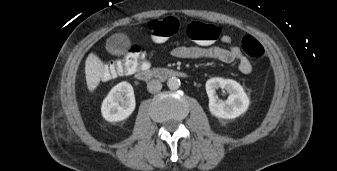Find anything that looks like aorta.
<instances>
[{"label":"aorta","instance_id":"obj_1","mask_svg":"<svg viewBox=\"0 0 337 171\" xmlns=\"http://www.w3.org/2000/svg\"><path fill=\"white\" fill-rule=\"evenodd\" d=\"M180 80L177 77H170L167 81V86L171 90H176L180 87Z\"/></svg>","mask_w":337,"mask_h":171}]
</instances>
